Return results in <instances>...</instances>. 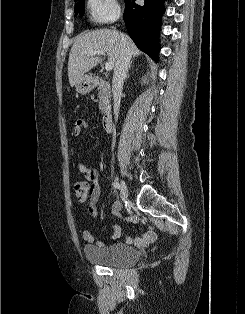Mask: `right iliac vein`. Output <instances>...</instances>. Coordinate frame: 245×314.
Returning a JSON list of instances; mask_svg holds the SVG:
<instances>
[{
  "label": "right iliac vein",
  "instance_id": "1",
  "mask_svg": "<svg viewBox=\"0 0 245 314\" xmlns=\"http://www.w3.org/2000/svg\"><path fill=\"white\" fill-rule=\"evenodd\" d=\"M120 190H121V197L123 201H128V190L125 182L123 180L120 181Z\"/></svg>",
  "mask_w": 245,
  "mask_h": 314
}]
</instances>
